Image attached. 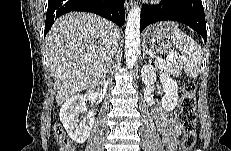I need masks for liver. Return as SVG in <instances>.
Masks as SVG:
<instances>
[{
	"instance_id": "liver-1",
	"label": "liver",
	"mask_w": 231,
	"mask_h": 151,
	"mask_svg": "<svg viewBox=\"0 0 231 151\" xmlns=\"http://www.w3.org/2000/svg\"><path fill=\"white\" fill-rule=\"evenodd\" d=\"M114 27L106 19L86 12H71L54 22L45 41L57 105L93 88L105 75Z\"/></svg>"
}]
</instances>
